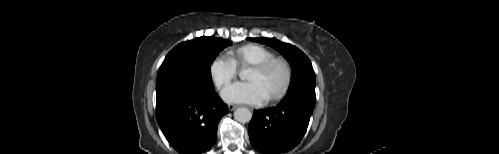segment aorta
<instances>
[{"instance_id": "obj_1", "label": "aorta", "mask_w": 499, "mask_h": 154, "mask_svg": "<svg viewBox=\"0 0 499 154\" xmlns=\"http://www.w3.org/2000/svg\"><path fill=\"white\" fill-rule=\"evenodd\" d=\"M240 78H244V72H240ZM234 118L238 122L247 123L252 119V113L248 108L240 107L234 112Z\"/></svg>"}]
</instances>
